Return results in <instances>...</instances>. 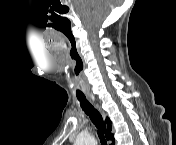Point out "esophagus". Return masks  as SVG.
Wrapping results in <instances>:
<instances>
[{
	"label": "esophagus",
	"mask_w": 176,
	"mask_h": 145,
	"mask_svg": "<svg viewBox=\"0 0 176 145\" xmlns=\"http://www.w3.org/2000/svg\"><path fill=\"white\" fill-rule=\"evenodd\" d=\"M96 107L98 108V110L101 112V114L105 117V113L102 110L101 106H99V104L96 103Z\"/></svg>",
	"instance_id": "1"
}]
</instances>
